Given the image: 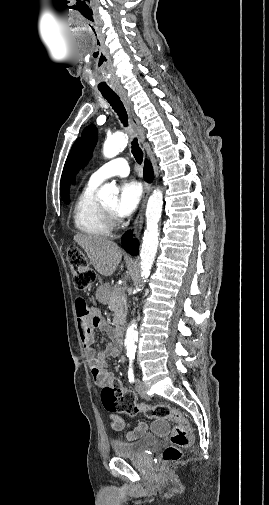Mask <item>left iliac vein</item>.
Segmentation results:
<instances>
[{
    "mask_svg": "<svg viewBox=\"0 0 269 505\" xmlns=\"http://www.w3.org/2000/svg\"><path fill=\"white\" fill-rule=\"evenodd\" d=\"M135 388L138 394L142 397H146V388L140 379H136Z\"/></svg>",
    "mask_w": 269,
    "mask_h": 505,
    "instance_id": "1",
    "label": "left iliac vein"
}]
</instances>
